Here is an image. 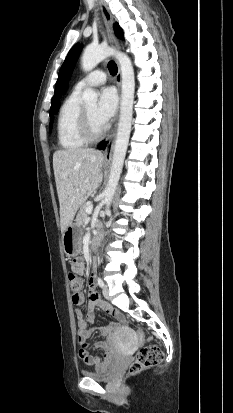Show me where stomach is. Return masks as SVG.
<instances>
[{"instance_id":"stomach-1","label":"stomach","mask_w":233,"mask_h":413,"mask_svg":"<svg viewBox=\"0 0 233 413\" xmlns=\"http://www.w3.org/2000/svg\"><path fill=\"white\" fill-rule=\"evenodd\" d=\"M82 229L77 224H70L63 232L62 245L68 257L79 255L81 252Z\"/></svg>"}]
</instances>
